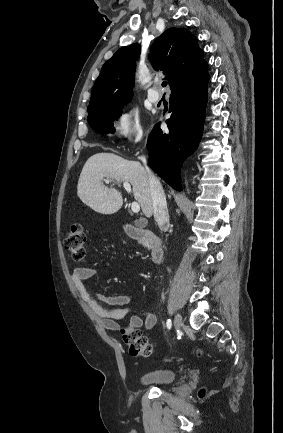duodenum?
I'll return each mask as SVG.
<instances>
[{
	"label": "duodenum",
	"instance_id": "duodenum-1",
	"mask_svg": "<svg viewBox=\"0 0 283 433\" xmlns=\"http://www.w3.org/2000/svg\"><path fill=\"white\" fill-rule=\"evenodd\" d=\"M126 232L129 237L149 248L153 262L160 263L162 261L164 247L161 239L154 232L132 224L126 225Z\"/></svg>",
	"mask_w": 283,
	"mask_h": 433
}]
</instances>
